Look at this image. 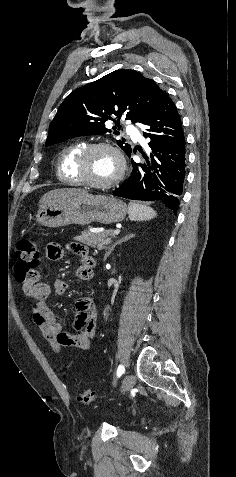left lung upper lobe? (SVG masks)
Instances as JSON below:
<instances>
[{"mask_svg":"<svg viewBox=\"0 0 236 477\" xmlns=\"http://www.w3.org/2000/svg\"><path fill=\"white\" fill-rule=\"evenodd\" d=\"M161 91L152 79L125 69L80 87L60 105L50 124L46 146L73 137L110 133L104 124L109 119L116 124L114 134L119 135L121 126L115 117L146 126L157 109ZM117 144L128 156L132 153L124 140H117Z\"/></svg>","mask_w":236,"mask_h":477,"instance_id":"left-lung-upper-lobe-1","label":"left lung upper lobe"}]
</instances>
